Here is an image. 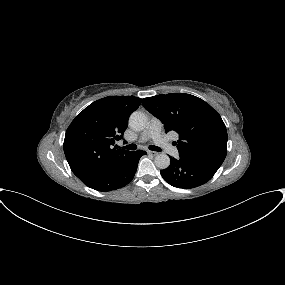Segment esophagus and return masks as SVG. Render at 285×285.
I'll return each mask as SVG.
<instances>
[{
	"mask_svg": "<svg viewBox=\"0 0 285 285\" xmlns=\"http://www.w3.org/2000/svg\"><path fill=\"white\" fill-rule=\"evenodd\" d=\"M148 154L151 156H156L158 153L155 151H148Z\"/></svg>",
	"mask_w": 285,
	"mask_h": 285,
	"instance_id": "1",
	"label": "esophagus"
}]
</instances>
